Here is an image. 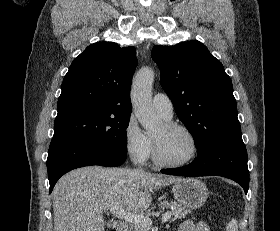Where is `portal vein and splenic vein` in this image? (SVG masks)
Returning <instances> with one entry per match:
<instances>
[{"instance_id": "obj_1", "label": "portal vein and splenic vein", "mask_w": 280, "mask_h": 231, "mask_svg": "<svg viewBox=\"0 0 280 231\" xmlns=\"http://www.w3.org/2000/svg\"><path fill=\"white\" fill-rule=\"evenodd\" d=\"M110 211H112L113 215H116L118 219H124V221H130V223H138V225H152V221L150 217H145L143 213H131V211H125L123 207H111ZM172 215V211H166L164 215H162V223H166L169 221Z\"/></svg>"}]
</instances>
